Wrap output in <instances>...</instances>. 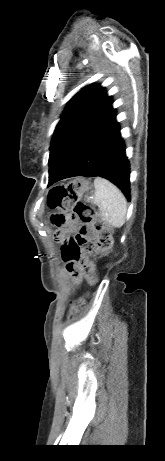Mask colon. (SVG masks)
Instances as JSON below:
<instances>
[{
  "instance_id": "1",
  "label": "colon",
  "mask_w": 165,
  "mask_h": 461,
  "mask_svg": "<svg viewBox=\"0 0 165 461\" xmlns=\"http://www.w3.org/2000/svg\"><path fill=\"white\" fill-rule=\"evenodd\" d=\"M89 188L90 184L85 179L74 180L52 188L48 194V207L53 210H59V212L52 216V223L56 227L62 228L68 225L70 221L79 219L85 224L94 225V231L97 234L96 240L88 242L84 248L87 250L98 249L101 252H106L112 245V227L102 219L97 218L93 210L86 203L79 201L80 195ZM84 272L90 282H95V272L89 263L84 266ZM84 307L85 297H79L74 300L71 307V316L79 314Z\"/></svg>"
}]
</instances>
